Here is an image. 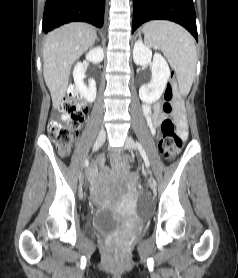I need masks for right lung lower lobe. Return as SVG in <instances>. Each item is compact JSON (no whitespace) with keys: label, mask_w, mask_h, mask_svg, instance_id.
Wrapping results in <instances>:
<instances>
[{"label":"right lung lower lobe","mask_w":238,"mask_h":278,"mask_svg":"<svg viewBox=\"0 0 238 278\" xmlns=\"http://www.w3.org/2000/svg\"><path fill=\"white\" fill-rule=\"evenodd\" d=\"M105 0H46L43 31H49L73 21L103 26Z\"/></svg>","instance_id":"obj_1"}]
</instances>
